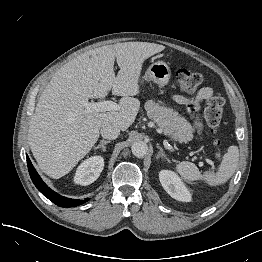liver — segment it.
<instances>
[{"label": "liver", "mask_w": 262, "mask_h": 262, "mask_svg": "<svg viewBox=\"0 0 262 262\" xmlns=\"http://www.w3.org/2000/svg\"><path fill=\"white\" fill-rule=\"evenodd\" d=\"M164 49L148 42L106 45L80 54L54 74L28 131L30 149L45 174L54 179L68 174L97 142L102 125L116 124L122 131L132 125L140 107L134 96L140 92L142 64ZM110 90L122 96L118 111H85L83 101L103 98Z\"/></svg>", "instance_id": "obj_1"}]
</instances>
